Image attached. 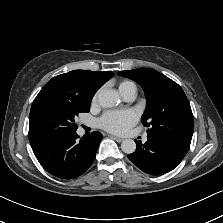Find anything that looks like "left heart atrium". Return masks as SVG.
Here are the masks:
<instances>
[{
	"label": "left heart atrium",
	"instance_id": "1",
	"mask_svg": "<svg viewBox=\"0 0 223 223\" xmlns=\"http://www.w3.org/2000/svg\"><path fill=\"white\" fill-rule=\"evenodd\" d=\"M138 118V113L133 109L108 110L99 118L98 123L108 132L121 134L134 125Z\"/></svg>",
	"mask_w": 223,
	"mask_h": 223
}]
</instances>
